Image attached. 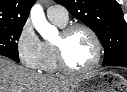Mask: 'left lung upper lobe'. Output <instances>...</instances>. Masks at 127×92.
<instances>
[{"label": "left lung upper lobe", "instance_id": "1", "mask_svg": "<svg viewBox=\"0 0 127 92\" xmlns=\"http://www.w3.org/2000/svg\"><path fill=\"white\" fill-rule=\"evenodd\" d=\"M99 37L104 60L127 52V23L116 0H55Z\"/></svg>", "mask_w": 127, "mask_h": 92}]
</instances>
